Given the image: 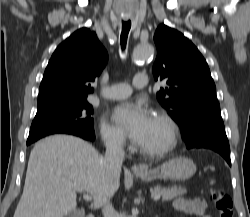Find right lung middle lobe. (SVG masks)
I'll return each instance as SVG.
<instances>
[{"instance_id": "right-lung-middle-lobe-1", "label": "right lung middle lobe", "mask_w": 250, "mask_h": 217, "mask_svg": "<svg viewBox=\"0 0 250 217\" xmlns=\"http://www.w3.org/2000/svg\"><path fill=\"white\" fill-rule=\"evenodd\" d=\"M93 107L87 100L58 104L37 110L27 145L51 134L64 133L94 140Z\"/></svg>"}]
</instances>
